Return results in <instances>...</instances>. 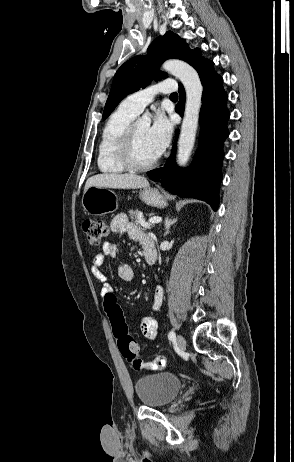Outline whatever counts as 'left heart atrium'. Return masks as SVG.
<instances>
[{
    "instance_id": "obj_1",
    "label": "left heart atrium",
    "mask_w": 294,
    "mask_h": 462,
    "mask_svg": "<svg viewBox=\"0 0 294 462\" xmlns=\"http://www.w3.org/2000/svg\"><path fill=\"white\" fill-rule=\"evenodd\" d=\"M148 133L156 153L161 155L171 140L172 124L163 114H157Z\"/></svg>"
}]
</instances>
